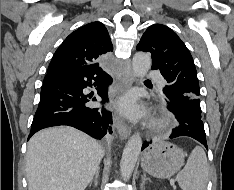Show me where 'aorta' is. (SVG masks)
<instances>
[{"instance_id":"762f6f07","label":"aorta","mask_w":234,"mask_h":190,"mask_svg":"<svg viewBox=\"0 0 234 190\" xmlns=\"http://www.w3.org/2000/svg\"><path fill=\"white\" fill-rule=\"evenodd\" d=\"M133 72L137 78H143L151 67V57L144 52H137L132 61ZM142 140L139 133H135L128 140L120 162L121 176L124 180L131 177L136 161L140 154Z\"/></svg>"}]
</instances>
